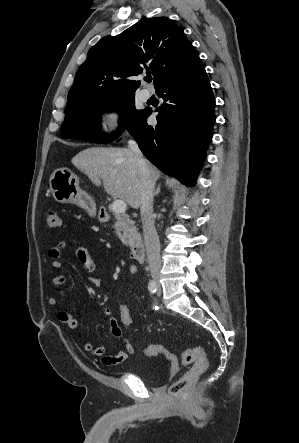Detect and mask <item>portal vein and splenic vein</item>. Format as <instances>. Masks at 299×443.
I'll list each match as a JSON object with an SVG mask.
<instances>
[{
    "mask_svg": "<svg viewBox=\"0 0 299 443\" xmlns=\"http://www.w3.org/2000/svg\"><path fill=\"white\" fill-rule=\"evenodd\" d=\"M111 208L115 213L123 214L126 212L127 205L123 200H115L112 203Z\"/></svg>",
    "mask_w": 299,
    "mask_h": 443,
    "instance_id": "1",
    "label": "portal vein and splenic vein"
}]
</instances>
